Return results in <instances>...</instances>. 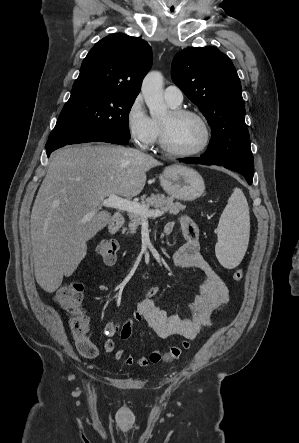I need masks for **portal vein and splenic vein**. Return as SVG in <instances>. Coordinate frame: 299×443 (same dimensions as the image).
Instances as JSON below:
<instances>
[{
	"mask_svg": "<svg viewBox=\"0 0 299 443\" xmlns=\"http://www.w3.org/2000/svg\"><path fill=\"white\" fill-rule=\"evenodd\" d=\"M102 205L107 208L139 214L144 220H147L148 218H157L164 214L161 210H150L137 202L121 198L115 194L109 195V197L103 201Z\"/></svg>",
	"mask_w": 299,
	"mask_h": 443,
	"instance_id": "1",
	"label": "portal vein and splenic vein"
}]
</instances>
